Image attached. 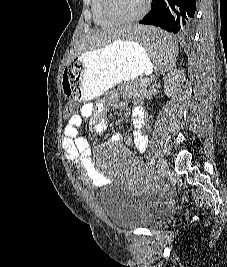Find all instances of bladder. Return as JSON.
<instances>
[{
    "label": "bladder",
    "mask_w": 227,
    "mask_h": 267,
    "mask_svg": "<svg viewBox=\"0 0 227 267\" xmlns=\"http://www.w3.org/2000/svg\"><path fill=\"white\" fill-rule=\"evenodd\" d=\"M109 221L121 228H158L168 219V206L154 200L151 194L138 195L113 185L101 197Z\"/></svg>",
    "instance_id": "31cf9c89"
}]
</instances>
